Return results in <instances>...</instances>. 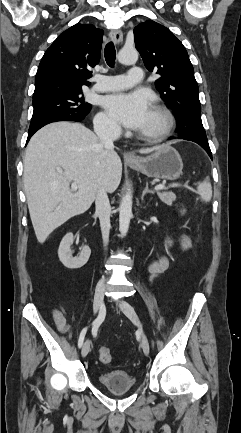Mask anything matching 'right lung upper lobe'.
Listing matches in <instances>:
<instances>
[{
    "instance_id": "cb5924a9",
    "label": "right lung upper lobe",
    "mask_w": 241,
    "mask_h": 433,
    "mask_svg": "<svg viewBox=\"0 0 241 433\" xmlns=\"http://www.w3.org/2000/svg\"><path fill=\"white\" fill-rule=\"evenodd\" d=\"M103 30L75 24L61 33L44 53L35 77L33 97L52 92L82 91L90 69L100 58Z\"/></svg>"
}]
</instances>
